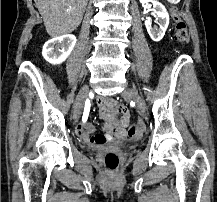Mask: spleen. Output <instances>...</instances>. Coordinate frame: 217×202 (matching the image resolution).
Returning a JSON list of instances; mask_svg holds the SVG:
<instances>
[{
	"mask_svg": "<svg viewBox=\"0 0 217 202\" xmlns=\"http://www.w3.org/2000/svg\"><path fill=\"white\" fill-rule=\"evenodd\" d=\"M168 4L169 5H178V0H169Z\"/></svg>",
	"mask_w": 217,
	"mask_h": 202,
	"instance_id": "1",
	"label": "spleen"
}]
</instances>
